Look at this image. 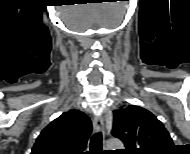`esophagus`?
<instances>
[{
  "mask_svg": "<svg viewBox=\"0 0 190 154\" xmlns=\"http://www.w3.org/2000/svg\"><path fill=\"white\" fill-rule=\"evenodd\" d=\"M93 126L96 132L105 133L104 120L101 115L95 116L93 119Z\"/></svg>",
  "mask_w": 190,
  "mask_h": 154,
  "instance_id": "1",
  "label": "esophagus"
}]
</instances>
